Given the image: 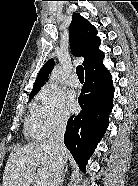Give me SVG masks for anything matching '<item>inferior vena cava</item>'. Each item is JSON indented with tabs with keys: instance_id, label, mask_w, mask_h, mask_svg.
<instances>
[{
	"instance_id": "obj_1",
	"label": "inferior vena cava",
	"mask_w": 138,
	"mask_h": 186,
	"mask_svg": "<svg viewBox=\"0 0 138 186\" xmlns=\"http://www.w3.org/2000/svg\"><path fill=\"white\" fill-rule=\"evenodd\" d=\"M66 126V121H60L56 125L53 134L48 140V145L53 149L56 155L55 162L53 163L52 170L49 175L48 186H60L61 183L63 170L66 163V147L64 145Z\"/></svg>"
}]
</instances>
